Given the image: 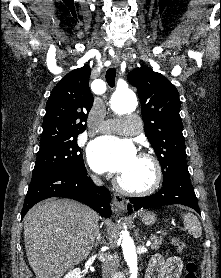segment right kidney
Wrapping results in <instances>:
<instances>
[{
  "mask_svg": "<svg viewBox=\"0 0 221 278\" xmlns=\"http://www.w3.org/2000/svg\"><path fill=\"white\" fill-rule=\"evenodd\" d=\"M64 278H81V271L79 268L70 270Z\"/></svg>",
  "mask_w": 221,
  "mask_h": 278,
  "instance_id": "1",
  "label": "right kidney"
}]
</instances>
